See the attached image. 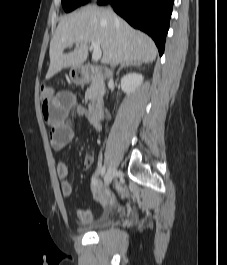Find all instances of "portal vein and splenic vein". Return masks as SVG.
<instances>
[{
	"mask_svg": "<svg viewBox=\"0 0 227 265\" xmlns=\"http://www.w3.org/2000/svg\"><path fill=\"white\" fill-rule=\"evenodd\" d=\"M91 47L93 49L92 59L98 61L102 56V51L100 49V44L98 42H91Z\"/></svg>",
	"mask_w": 227,
	"mask_h": 265,
	"instance_id": "obj_1",
	"label": "portal vein and splenic vein"
}]
</instances>
